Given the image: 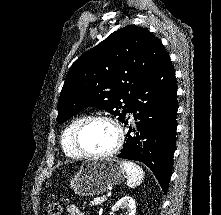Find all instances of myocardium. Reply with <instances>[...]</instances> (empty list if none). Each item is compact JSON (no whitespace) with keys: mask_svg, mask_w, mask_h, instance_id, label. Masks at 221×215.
Segmentation results:
<instances>
[{"mask_svg":"<svg viewBox=\"0 0 221 215\" xmlns=\"http://www.w3.org/2000/svg\"><path fill=\"white\" fill-rule=\"evenodd\" d=\"M95 121H106V122L110 123L115 130L116 141H115L114 146L110 150L103 152V153L88 152L83 148V146L81 144V137H82L84 130L91 123H93ZM123 141H124V134H123V130H122V127L119 124V122L111 116L102 115V114L87 117L80 124V126L77 128V130L75 132V136H74V143H75V147L78 150V152L82 156L89 157V158H106V157L112 156L115 153H117L119 151V149L122 147Z\"/></svg>","mask_w":221,"mask_h":215,"instance_id":"f54148a6","label":"myocardium"}]
</instances>
